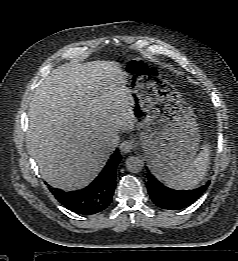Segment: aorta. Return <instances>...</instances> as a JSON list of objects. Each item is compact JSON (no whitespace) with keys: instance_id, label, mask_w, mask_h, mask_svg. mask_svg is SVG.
Masks as SVG:
<instances>
[{"instance_id":"obj_1","label":"aorta","mask_w":238,"mask_h":261,"mask_svg":"<svg viewBox=\"0 0 238 261\" xmlns=\"http://www.w3.org/2000/svg\"><path fill=\"white\" fill-rule=\"evenodd\" d=\"M126 168L131 173H139L142 171L144 162L138 157L131 156L125 162Z\"/></svg>"}]
</instances>
